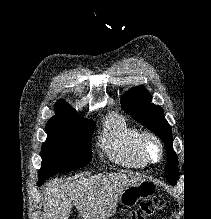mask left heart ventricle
Wrapping results in <instances>:
<instances>
[{
    "instance_id": "left-heart-ventricle-1",
    "label": "left heart ventricle",
    "mask_w": 211,
    "mask_h": 219,
    "mask_svg": "<svg viewBox=\"0 0 211 219\" xmlns=\"http://www.w3.org/2000/svg\"><path fill=\"white\" fill-rule=\"evenodd\" d=\"M148 151L153 156H156V154H157V148L154 144H149L148 145Z\"/></svg>"
}]
</instances>
